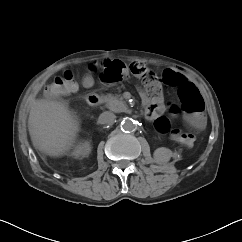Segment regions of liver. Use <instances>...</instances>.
<instances>
[{
	"instance_id": "obj_1",
	"label": "liver",
	"mask_w": 242,
	"mask_h": 242,
	"mask_svg": "<svg viewBox=\"0 0 242 242\" xmlns=\"http://www.w3.org/2000/svg\"><path fill=\"white\" fill-rule=\"evenodd\" d=\"M28 130L35 149L59 157L71 149L79 122L66 102L39 99L31 106Z\"/></svg>"
}]
</instances>
